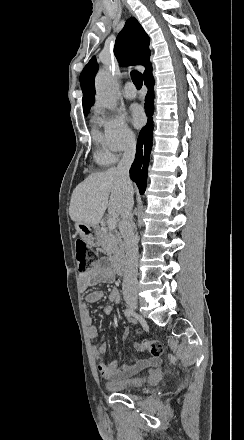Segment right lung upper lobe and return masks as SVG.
<instances>
[{
  "label": "right lung upper lobe",
  "mask_w": 244,
  "mask_h": 440,
  "mask_svg": "<svg viewBox=\"0 0 244 440\" xmlns=\"http://www.w3.org/2000/svg\"><path fill=\"white\" fill-rule=\"evenodd\" d=\"M149 43V37L145 33L144 29L137 19L132 17L127 20L124 28L117 36L114 46V54L122 65L138 64L145 66L146 71L143 74L144 76L149 70L152 69L149 60ZM97 70L98 65L96 59L95 57H92L80 75V84L83 91L82 103L84 112H89L95 101L94 78Z\"/></svg>",
  "instance_id": "obj_1"
}]
</instances>
